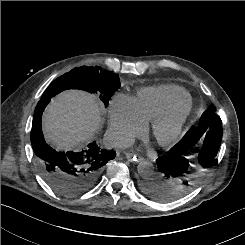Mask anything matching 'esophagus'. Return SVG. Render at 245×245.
<instances>
[{
  "instance_id": "34e87169",
  "label": "esophagus",
  "mask_w": 245,
  "mask_h": 245,
  "mask_svg": "<svg viewBox=\"0 0 245 245\" xmlns=\"http://www.w3.org/2000/svg\"><path fill=\"white\" fill-rule=\"evenodd\" d=\"M126 158L128 161L133 162V163H139V162H142L144 160L143 157L132 154V153H127Z\"/></svg>"
}]
</instances>
